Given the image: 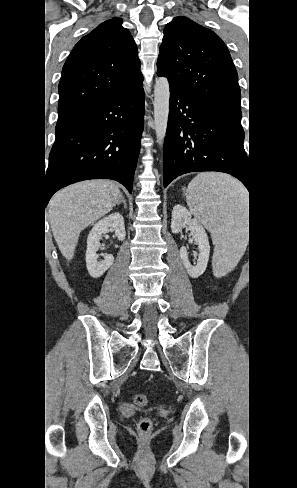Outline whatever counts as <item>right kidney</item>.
<instances>
[{
  "instance_id": "ca27d5eb",
  "label": "right kidney",
  "mask_w": 297,
  "mask_h": 488,
  "mask_svg": "<svg viewBox=\"0 0 297 488\" xmlns=\"http://www.w3.org/2000/svg\"><path fill=\"white\" fill-rule=\"evenodd\" d=\"M113 231L119 241L126 237L123 216L114 212L97 222L90 231L87 238L86 265L88 272L94 278L102 276L113 264L112 254H106L104 260L98 261L97 251L100 248V238L102 234Z\"/></svg>"
}]
</instances>
